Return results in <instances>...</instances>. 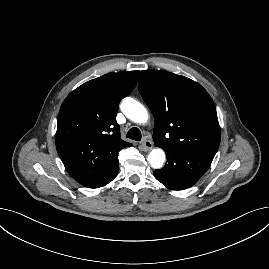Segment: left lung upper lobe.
Listing matches in <instances>:
<instances>
[{"label":"left lung upper lobe","mask_w":269,"mask_h":269,"mask_svg":"<svg viewBox=\"0 0 269 269\" xmlns=\"http://www.w3.org/2000/svg\"><path fill=\"white\" fill-rule=\"evenodd\" d=\"M138 89L154 116L156 146L216 154L220 144L216 108L200 84L167 71L146 70L140 72Z\"/></svg>","instance_id":"left-lung-upper-lobe-1"}]
</instances>
